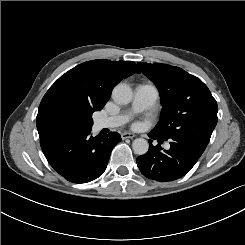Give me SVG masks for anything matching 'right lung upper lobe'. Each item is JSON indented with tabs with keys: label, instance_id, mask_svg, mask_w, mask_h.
<instances>
[{
	"label": "right lung upper lobe",
	"instance_id": "obj_1",
	"mask_svg": "<svg viewBox=\"0 0 245 245\" xmlns=\"http://www.w3.org/2000/svg\"><path fill=\"white\" fill-rule=\"evenodd\" d=\"M139 68L131 61L92 60L62 75L44 95L36 118L39 137L60 132L57 110L63 105L80 104L101 110L112 89Z\"/></svg>",
	"mask_w": 245,
	"mask_h": 245
}]
</instances>
